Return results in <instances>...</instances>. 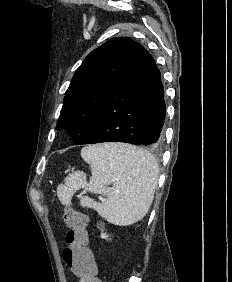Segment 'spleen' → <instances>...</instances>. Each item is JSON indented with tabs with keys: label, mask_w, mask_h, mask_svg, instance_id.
Masks as SVG:
<instances>
[{
	"label": "spleen",
	"mask_w": 232,
	"mask_h": 282,
	"mask_svg": "<svg viewBox=\"0 0 232 282\" xmlns=\"http://www.w3.org/2000/svg\"><path fill=\"white\" fill-rule=\"evenodd\" d=\"M81 157L90 165V182L82 172L69 174L64 184L57 187L63 205H70L74 193L86 188L107 198L96 203L83 197L80 205L94 208L111 223L131 225L147 214L159 174L157 161L150 152L132 145L108 143L84 147ZM110 184L113 187L107 190Z\"/></svg>",
	"instance_id": "spleen-1"
}]
</instances>
